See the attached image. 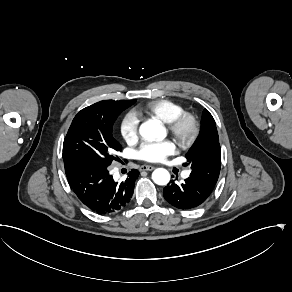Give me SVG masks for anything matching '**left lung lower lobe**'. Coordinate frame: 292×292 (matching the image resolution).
Instances as JSON below:
<instances>
[{
    "instance_id": "1",
    "label": "left lung lower lobe",
    "mask_w": 292,
    "mask_h": 292,
    "mask_svg": "<svg viewBox=\"0 0 292 292\" xmlns=\"http://www.w3.org/2000/svg\"><path fill=\"white\" fill-rule=\"evenodd\" d=\"M214 188L215 185L189 177L180 185L172 181L163 189V196L175 208L189 210L204 203Z\"/></svg>"
}]
</instances>
